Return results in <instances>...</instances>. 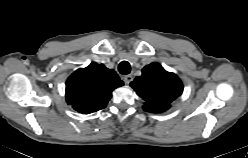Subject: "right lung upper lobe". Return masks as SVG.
Masks as SVG:
<instances>
[{
    "label": "right lung upper lobe",
    "mask_w": 248,
    "mask_h": 158,
    "mask_svg": "<svg viewBox=\"0 0 248 158\" xmlns=\"http://www.w3.org/2000/svg\"><path fill=\"white\" fill-rule=\"evenodd\" d=\"M122 85L114 70L91 63L86 68L76 70L68 78L66 100L76 111L89 114L105 108L112 91Z\"/></svg>",
    "instance_id": "1"
}]
</instances>
